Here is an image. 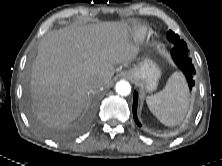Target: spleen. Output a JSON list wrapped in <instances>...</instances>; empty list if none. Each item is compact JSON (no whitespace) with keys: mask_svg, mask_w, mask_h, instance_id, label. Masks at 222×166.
<instances>
[{"mask_svg":"<svg viewBox=\"0 0 222 166\" xmlns=\"http://www.w3.org/2000/svg\"><path fill=\"white\" fill-rule=\"evenodd\" d=\"M147 105L153 115L166 126L182 122L188 109V88L180 72L173 73L163 90L148 96Z\"/></svg>","mask_w":222,"mask_h":166,"instance_id":"obj_1","label":"spleen"}]
</instances>
